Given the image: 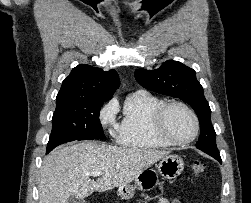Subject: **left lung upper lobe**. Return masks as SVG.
<instances>
[{
  "mask_svg": "<svg viewBox=\"0 0 251 203\" xmlns=\"http://www.w3.org/2000/svg\"><path fill=\"white\" fill-rule=\"evenodd\" d=\"M135 78L148 90L177 97L188 103L200 122L201 132L196 147L212 157L220 156L216 146V133L211 123V110L193 69L178 61L169 60L155 70H136Z\"/></svg>",
  "mask_w": 251,
  "mask_h": 203,
  "instance_id": "1",
  "label": "left lung upper lobe"
}]
</instances>
